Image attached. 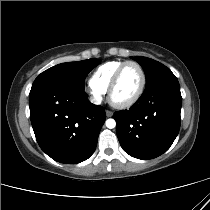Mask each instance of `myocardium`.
Listing matches in <instances>:
<instances>
[{"mask_svg": "<svg viewBox=\"0 0 210 210\" xmlns=\"http://www.w3.org/2000/svg\"><path fill=\"white\" fill-rule=\"evenodd\" d=\"M128 65H135L139 69L140 74H141V83H140L138 91L135 93V95L132 98H130L129 100L124 101V102H116V101L113 100V92H114L115 88L118 85V82H119V79H120L122 71ZM146 82H147V77H146V73H145V70L142 67V65L139 64L138 62L132 61V60L125 61L124 63H122L118 67V69L114 73V75L112 77V80H111V82L109 84V87H108V90H107V94H108V100H109L110 104L113 107L118 108V109H126V108L131 107L142 96V94H143V92L145 90V87H146Z\"/></svg>", "mask_w": 210, "mask_h": 210, "instance_id": "myocardium-1", "label": "myocardium"}]
</instances>
